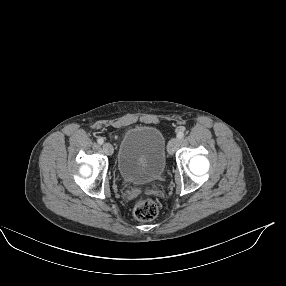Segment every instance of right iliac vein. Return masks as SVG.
Returning <instances> with one entry per match:
<instances>
[{
    "instance_id": "obj_1",
    "label": "right iliac vein",
    "mask_w": 286,
    "mask_h": 286,
    "mask_svg": "<svg viewBox=\"0 0 286 286\" xmlns=\"http://www.w3.org/2000/svg\"><path fill=\"white\" fill-rule=\"evenodd\" d=\"M103 151L108 154V155H112L113 154V146L110 143H104L103 144Z\"/></svg>"
}]
</instances>
